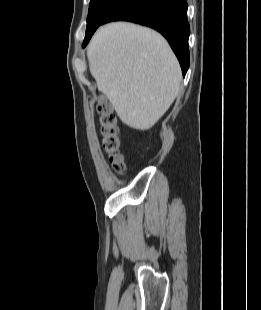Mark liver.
<instances>
[{"instance_id": "1", "label": "liver", "mask_w": 261, "mask_h": 310, "mask_svg": "<svg viewBox=\"0 0 261 310\" xmlns=\"http://www.w3.org/2000/svg\"><path fill=\"white\" fill-rule=\"evenodd\" d=\"M87 57L99 90L133 129L152 128L179 93V62L164 37L147 27L106 24L94 34Z\"/></svg>"}]
</instances>
